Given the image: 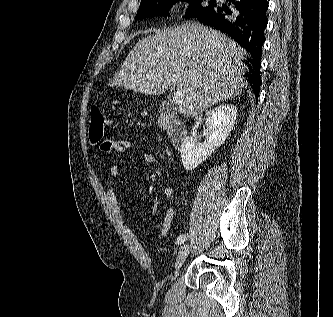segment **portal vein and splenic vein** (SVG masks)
<instances>
[{"label": "portal vein and splenic vein", "instance_id": "1", "mask_svg": "<svg viewBox=\"0 0 333 317\" xmlns=\"http://www.w3.org/2000/svg\"><path fill=\"white\" fill-rule=\"evenodd\" d=\"M182 92L177 91L173 96V101L175 104H180L182 102Z\"/></svg>", "mask_w": 333, "mask_h": 317}]
</instances>
